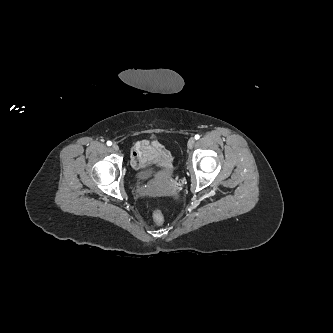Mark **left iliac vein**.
<instances>
[{"mask_svg": "<svg viewBox=\"0 0 333 333\" xmlns=\"http://www.w3.org/2000/svg\"><path fill=\"white\" fill-rule=\"evenodd\" d=\"M194 144H195V139L194 138H190L189 140H188V148L189 149H192L193 148V146H194Z\"/></svg>", "mask_w": 333, "mask_h": 333, "instance_id": "4c4485c4", "label": "left iliac vein"}]
</instances>
